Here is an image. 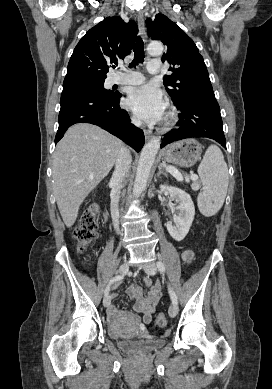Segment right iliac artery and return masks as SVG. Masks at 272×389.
I'll list each match as a JSON object with an SVG mask.
<instances>
[{
  "label": "right iliac artery",
  "mask_w": 272,
  "mask_h": 389,
  "mask_svg": "<svg viewBox=\"0 0 272 389\" xmlns=\"http://www.w3.org/2000/svg\"><path fill=\"white\" fill-rule=\"evenodd\" d=\"M122 278H123V276H120V275L113 277V278L110 280L109 284L107 285V287H106V289H105V291H104V295L107 296V295L109 294V291H110V286H111L114 282L119 281V280H121Z\"/></svg>",
  "instance_id": "obj_1"
}]
</instances>
